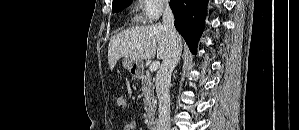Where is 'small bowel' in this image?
Listing matches in <instances>:
<instances>
[{
  "label": "small bowel",
  "mask_w": 299,
  "mask_h": 130,
  "mask_svg": "<svg viewBox=\"0 0 299 130\" xmlns=\"http://www.w3.org/2000/svg\"><path fill=\"white\" fill-rule=\"evenodd\" d=\"M137 128V124L135 121H131V122H128L126 123L122 130H135Z\"/></svg>",
  "instance_id": "1"
}]
</instances>
